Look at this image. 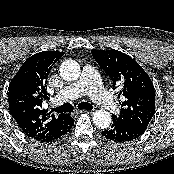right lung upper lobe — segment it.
Returning <instances> with one entry per match:
<instances>
[{
  "label": "right lung upper lobe",
  "mask_w": 174,
  "mask_h": 174,
  "mask_svg": "<svg viewBox=\"0 0 174 174\" xmlns=\"http://www.w3.org/2000/svg\"><path fill=\"white\" fill-rule=\"evenodd\" d=\"M64 52L43 51L29 57L11 80L9 110L19 127L38 141L51 139L73 121L69 114L54 115L42 108L47 93V77Z\"/></svg>",
  "instance_id": "obj_1"
}]
</instances>
